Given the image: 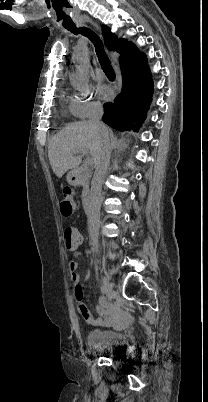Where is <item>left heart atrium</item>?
<instances>
[{
    "label": "left heart atrium",
    "instance_id": "left-heart-atrium-1",
    "mask_svg": "<svg viewBox=\"0 0 208 402\" xmlns=\"http://www.w3.org/2000/svg\"><path fill=\"white\" fill-rule=\"evenodd\" d=\"M98 95L101 100L110 101L114 97V90L109 84L100 82L98 85Z\"/></svg>",
    "mask_w": 208,
    "mask_h": 402
}]
</instances>
